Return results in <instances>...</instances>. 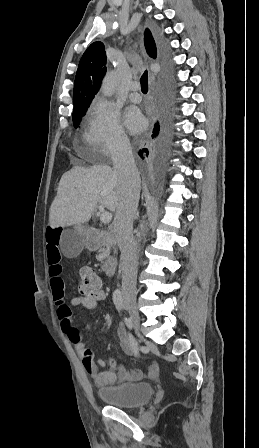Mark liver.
Listing matches in <instances>:
<instances>
[{"label":"liver","mask_w":259,"mask_h":448,"mask_svg":"<svg viewBox=\"0 0 259 448\" xmlns=\"http://www.w3.org/2000/svg\"><path fill=\"white\" fill-rule=\"evenodd\" d=\"M119 180L110 166L72 168L63 174L50 210L51 228L86 224L97 204L115 212Z\"/></svg>","instance_id":"6515ba94"}]
</instances>
